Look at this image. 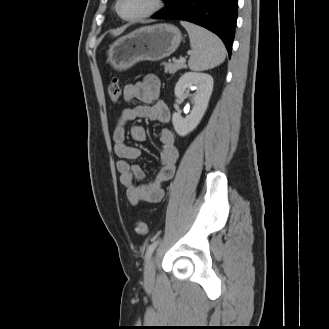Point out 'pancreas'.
Masks as SVG:
<instances>
[{"label":"pancreas","instance_id":"obj_1","mask_svg":"<svg viewBox=\"0 0 329 329\" xmlns=\"http://www.w3.org/2000/svg\"><path fill=\"white\" fill-rule=\"evenodd\" d=\"M164 65H165V72L170 73V74H174L178 70L186 67L185 63L179 62L176 59H173L172 62L169 61L168 63H165Z\"/></svg>","mask_w":329,"mask_h":329}]
</instances>
